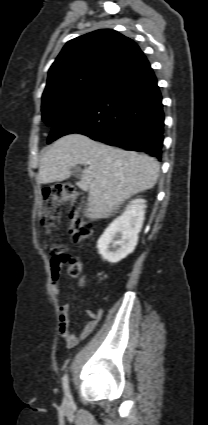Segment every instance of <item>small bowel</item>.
<instances>
[{
  "label": "small bowel",
  "mask_w": 208,
  "mask_h": 425,
  "mask_svg": "<svg viewBox=\"0 0 208 425\" xmlns=\"http://www.w3.org/2000/svg\"><path fill=\"white\" fill-rule=\"evenodd\" d=\"M51 288H52V292L56 296H59L60 294L59 269L55 270L54 268H52ZM68 311H69L68 304L62 301L61 299H58V315H59L58 331L60 336L65 341L66 345L69 348H72L76 346L81 339L85 338L86 336H88L94 331L103 313L101 309L97 310L96 312H89L88 315L90 317V320L86 323V325L83 327V329L79 333H73L70 328V323L68 319Z\"/></svg>",
  "instance_id": "small-bowel-1"
}]
</instances>
